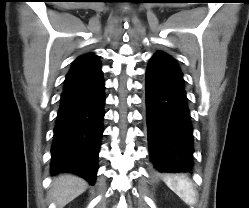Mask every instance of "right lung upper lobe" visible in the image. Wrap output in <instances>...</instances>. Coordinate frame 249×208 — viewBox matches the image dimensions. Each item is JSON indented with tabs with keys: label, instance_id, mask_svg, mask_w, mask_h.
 <instances>
[{
	"label": "right lung upper lobe",
	"instance_id": "1",
	"mask_svg": "<svg viewBox=\"0 0 249 208\" xmlns=\"http://www.w3.org/2000/svg\"><path fill=\"white\" fill-rule=\"evenodd\" d=\"M101 64L98 56L88 53L78 57L66 75L64 88L84 81L101 73Z\"/></svg>",
	"mask_w": 249,
	"mask_h": 208
}]
</instances>
